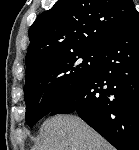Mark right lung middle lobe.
<instances>
[{
    "label": "right lung middle lobe",
    "instance_id": "obj_1",
    "mask_svg": "<svg viewBox=\"0 0 139 150\" xmlns=\"http://www.w3.org/2000/svg\"><path fill=\"white\" fill-rule=\"evenodd\" d=\"M100 51H81L56 57L26 76V122L32 127L94 71Z\"/></svg>",
    "mask_w": 139,
    "mask_h": 150
}]
</instances>
